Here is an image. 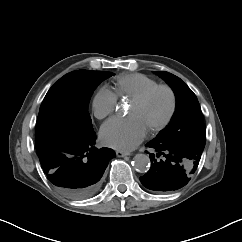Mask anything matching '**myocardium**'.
<instances>
[{"instance_id": "obj_1", "label": "myocardium", "mask_w": 242, "mask_h": 242, "mask_svg": "<svg viewBox=\"0 0 242 242\" xmlns=\"http://www.w3.org/2000/svg\"><path fill=\"white\" fill-rule=\"evenodd\" d=\"M158 90H165L168 92L170 99H171V106H170V110H169V113L166 116V118L159 124L151 127L148 130L149 133L160 132L170 125V123L172 122V120L176 114V111H177V106H178L177 95L171 86H169L167 84H157L132 99L133 102L142 104V103L146 102Z\"/></svg>"}]
</instances>
